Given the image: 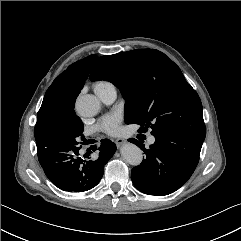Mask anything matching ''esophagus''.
Returning <instances> with one entry per match:
<instances>
[{
    "label": "esophagus",
    "mask_w": 241,
    "mask_h": 241,
    "mask_svg": "<svg viewBox=\"0 0 241 241\" xmlns=\"http://www.w3.org/2000/svg\"><path fill=\"white\" fill-rule=\"evenodd\" d=\"M115 143L117 144V146H121V145H123V144L126 143V140L123 139V138H117V139L115 140Z\"/></svg>",
    "instance_id": "34e87169"
}]
</instances>
